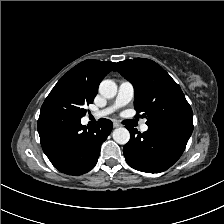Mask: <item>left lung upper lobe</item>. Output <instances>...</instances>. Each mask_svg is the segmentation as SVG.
Masks as SVG:
<instances>
[{
  "label": "left lung upper lobe",
  "instance_id": "5c2ea615",
  "mask_svg": "<svg viewBox=\"0 0 224 224\" xmlns=\"http://www.w3.org/2000/svg\"><path fill=\"white\" fill-rule=\"evenodd\" d=\"M114 71L133 84L135 109L147 118V125L193 126V112L181 88L160 65L135 58L118 62Z\"/></svg>",
  "mask_w": 224,
  "mask_h": 224
}]
</instances>
